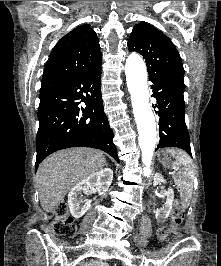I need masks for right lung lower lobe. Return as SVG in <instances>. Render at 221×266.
I'll return each mask as SVG.
<instances>
[{"label":"right lung lower lobe","instance_id":"obj_1","mask_svg":"<svg viewBox=\"0 0 221 266\" xmlns=\"http://www.w3.org/2000/svg\"><path fill=\"white\" fill-rule=\"evenodd\" d=\"M101 64L40 95L35 170L49 154L69 147L101 149L119 162L103 111Z\"/></svg>","mask_w":221,"mask_h":266}]
</instances>
